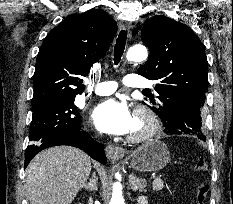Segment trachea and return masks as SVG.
Wrapping results in <instances>:
<instances>
[{
  "label": "trachea",
  "mask_w": 233,
  "mask_h": 204,
  "mask_svg": "<svg viewBox=\"0 0 233 204\" xmlns=\"http://www.w3.org/2000/svg\"><path fill=\"white\" fill-rule=\"evenodd\" d=\"M126 40H127V31L122 30L119 33V36L116 40V44H115V48H114V63H115V65H117L121 60V57H122L124 49H125ZM144 91H146V90H144Z\"/></svg>",
  "instance_id": "obj_1"
}]
</instances>
